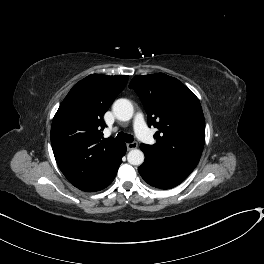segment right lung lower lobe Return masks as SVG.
I'll list each match as a JSON object with an SVG mask.
<instances>
[{
	"label": "right lung lower lobe",
	"instance_id": "right-lung-lower-lobe-1",
	"mask_svg": "<svg viewBox=\"0 0 264 264\" xmlns=\"http://www.w3.org/2000/svg\"><path fill=\"white\" fill-rule=\"evenodd\" d=\"M125 152H126V145L124 144L123 156H124ZM117 170H118V168H117ZM117 170L112 174V176L110 178H108V180L105 183H103L102 185H100L99 187H97V188H95V189H93L91 191H99V190H102V189L106 188L107 186H109L112 183V181L114 180V178L116 176V173H117Z\"/></svg>",
	"mask_w": 264,
	"mask_h": 264
}]
</instances>
